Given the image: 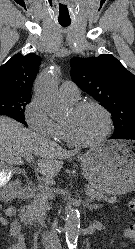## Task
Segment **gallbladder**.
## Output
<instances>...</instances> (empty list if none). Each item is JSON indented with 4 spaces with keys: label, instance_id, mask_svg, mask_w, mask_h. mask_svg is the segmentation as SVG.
I'll return each instance as SVG.
<instances>
[{
    "label": "gallbladder",
    "instance_id": "1",
    "mask_svg": "<svg viewBox=\"0 0 135 249\" xmlns=\"http://www.w3.org/2000/svg\"><path fill=\"white\" fill-rule=\"evenodd\" d=\"M5 164H0V169H2V168H5V170H7L8 169V166L7 165H5Z\"/></svg>",
    "mask_w": 135,
    "mask_h": 249
}]
</instances>
